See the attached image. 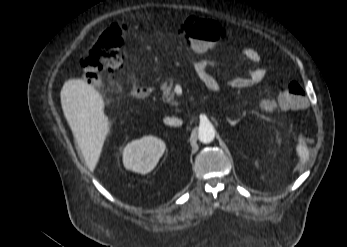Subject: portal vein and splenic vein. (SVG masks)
Instances as JSON below:
<instances>
[{"instance_id":"obj_1","label":"portal vein and splenic vein","mask_w":347,"mask_h":247,"mask_svg":"<svg viewBox=\"0 0 347 247\" xmlns=\"http://www.w3.org/2000/svg\"><path fill=\"white\" fill-rule=\"evenodd\" d=\"M175 92H176L177 94H180V93H181V88H180V86H178V85L175 86Z\"/></svg>"}]
</instances>
